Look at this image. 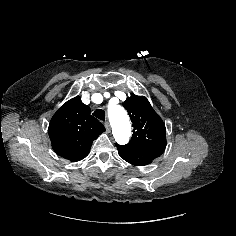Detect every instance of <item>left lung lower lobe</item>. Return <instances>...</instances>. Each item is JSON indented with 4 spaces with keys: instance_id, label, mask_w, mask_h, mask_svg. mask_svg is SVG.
Listing matches in <instances>:
<instances>
[{
    "instance_id": "obj_1",
    "label": "left lung lower lobe",
    "mask_w": 236,
    "mask_h": 236,
    "mask_svg": "<svg viewBox=\"0 0 236 236\" xmlns=\"http://www.w3.org/2000/svg\"><path fill=\"white\" fill-rule=\"evenodd\" d=\"M116 147L122 159L137 166H145L150 164L154 159L159 157L164 152V150L161 149L131 148L118 144H116Z\"/></svg>"
}]
</instances>
